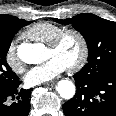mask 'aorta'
I'll list each match as a JSON object with an SVG mask.
<instances>
[{"mask_svg":"<svg viewBox=\"0 0 116 116\" xmlns=\"http://www.w3.org/2000/svg\"><path fill=\"white\" fill-rule=\"evenodd\" d=\"M17 54L20 60L27 64H38L44 60L43 48L38 44H21ZM56 89L64 99H71L75 94V85L69 80L59 81Z\"/></svg>","mask_w":116,"mask_h":116,"instance_id":"obj_1","label":"aorta"}]
</instances>
